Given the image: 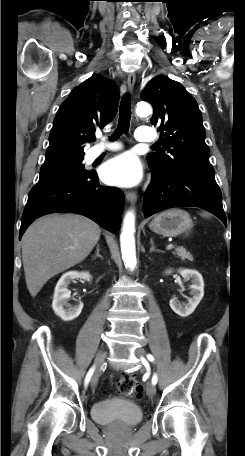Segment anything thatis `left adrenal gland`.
Wrapping results in <instances>:
<instances>
[{"mask_svg":"<svg viewBox=\"0 0 245 456\" xmlns=\"http://www.w3.org/2000/svg\"><path fill=\"white\" fill-rule=\"evenodd\" d=\"M150 245H151V247H150V253H151V252H154V251H156V252H162L161 250L156 249V247L154 246V241H153L152 238L150 239Z\"/></svg>","mask_w":245,"mask_h":456,"instance_id":"left-adrenal-gland-1","label":"left adrenal gland"}]
</instances>
